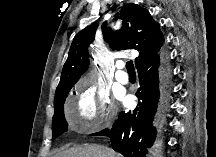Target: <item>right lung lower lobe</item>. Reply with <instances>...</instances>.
Segmentation results:
<instances>
[{
  "label": "right lung lower lobe",
  "instance_id": "right-lung-lower-lobe-1",
  "mask_svg": "<svg viewBox=\"0 0 216 157\" xmlns=\"http://www.w3.org/2000/svg\"><path fill=\"white\" fill-rule=\"evenodd\" d=\"M140 88L136 92L138 105L133 111L121 112L110 130L93 135L110 137L112 148L124 157H146L147 148L156 139L153 118L164 109L162 79L164 65L158 56L137 67Z\"/></svg>",
  "mask_w": 216,
  "mask_h": 157
}]
</instances>
